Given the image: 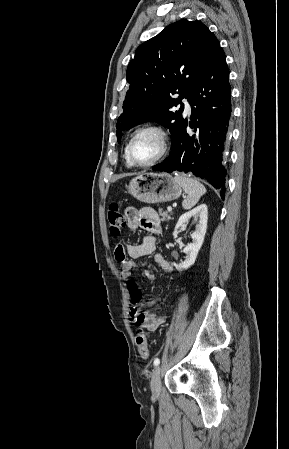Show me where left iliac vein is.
<instances>
[{
	"label": "left iliac vein",
	"instance_id": "left-iliac-vein-1",
	"mask_svg": "<svg viewBox=\"0 0 289 449\" xmlns=\"http://www.w3.org/2000/svg\"><path fill=\"white\" fill-rule=\"evenodd\" d=\"M161 372L162 367L158 366L152 375L151 379V391L154 396H158L161 391Z\"/></svg>",
	"mask_w": 289,
	"mask_h": 449
}]
</instances>
